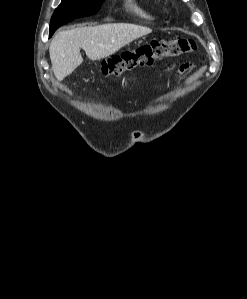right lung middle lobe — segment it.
Listing matches in <instances>:
<instances>
[{"instance_id":"dd1d6c3e","label":"right lung middle lobe","mask_w":247,"mask_h":299,"mask_svg":"<svg viewBox=\"0 0 247 299\" xmlns=\"http://www.w3.org/2000/svg\"><path fill=\"white\" fill-rule=\"evenodd\" d=\"M103 1L104 0H62L52 15L49 37L63 24L76 18L97 13Z\"/></svg>"}]
</instances>
